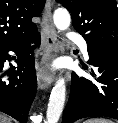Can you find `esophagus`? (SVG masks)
Segmentation results:
<instances>
[{
	"label": "esophagus",
	"instance_id": "obj_1",
	"mask_svg": "<svg viewBox=\"0 0 118 123\" xmlns=\"http://www.w3.org/2000/svg\"><path fill=\"white\" fill-rule=\"evenodd\" d=\"M43 37L45 45L43 56L37 71L38 87L42 90L49 88L53 83V76L49 72L50 61L58 52V44L56 40V31L52 21L51 3L46 2L43 13Z\"/></svg>",
	"mask_w": 118,
	"mask_h": 123
}]
</instances>
